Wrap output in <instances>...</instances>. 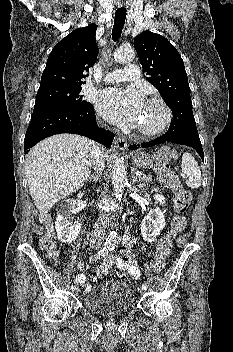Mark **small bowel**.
<instances>
[{
	"mask_svg": "<svg viewBox=\"0 0 233 352\" xmlns=\"http://www.w3.org/2000/svg\"><path fill=\"white\" fill-rule=\"evenodd\" d=\"M156 200L159 203L164 202V198L160 195L156 196ZM135 238H130L129 236L124 237V243L119 248V255L116 257L115 262L119 270L127 272L134 279L140 277V270L138 267V262L135 255L132 253V247L136 244ZM78 268L84 272L87 269V265L82 262L78 263ZM75 282L82 285L86 290L90 288V284L86 282V275L80 273L75 277Z\"/></svg>",
	"mask_w": 233,
	"mask_h": 352,
	"instance_id": "c3829d8e",
	"label": "small bowel"
}]
</instances>
